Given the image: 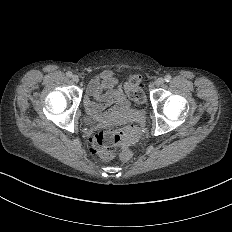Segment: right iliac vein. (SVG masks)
Instances as JSON below:
<instances>
[{
    "instance_id": "63e3f726",
    "label": "right iliac vein",
    "mask_w": 232,
    "mask_h": 232,
    "mask_svg": "<svg viewBox=\"0 0 232 232\" xmlns=\"http://www.w3.org/2000/svg\"><path fill=\"white\" fill-rule=\"evenodd\" d=\"M72 82L73 83H78L79 82V76L78 75H73L72 76Z\"/></svg>"
}]
</instances>
